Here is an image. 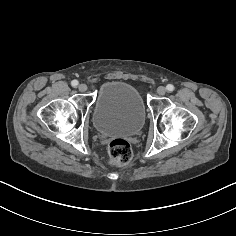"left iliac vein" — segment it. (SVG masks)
Wrapping results in <instances>:
<instances>
[{"label":"left iliac vein","instance_id":"obj_1","mask_svg":"<svg viewBox=\"0 0 236 236\" xmlns=\"http://www.w3.org/2000/svg\"><path fill=\"white\" fill-rule=\"evenodd\" d=\"M157 93H158V95H160V96L165 95V93H166V88L163 87V86H159V87L157 88Z\"/></svg>","mask_w":236,"mask_h":236}]
</instances>
